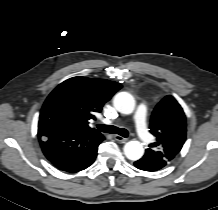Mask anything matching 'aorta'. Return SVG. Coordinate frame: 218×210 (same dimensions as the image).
I'll return each mask as SVG.
<instances>
[{"instance_id": "1", "label": "aorta", "mask_w": 218, "mask_h": 210, "mask_svg": "<svg viewBox=\"0 0 218 210\" xmlns=\"http://www.w3.org/2000/svg\"><path fill=\"white\" fill-rule=\"evenodd\" d=\"M116 109L122 114H131L135 109V100L127 92H120L114 98ZM124 154L129 160H139L144 154L142 143L136 140L129 141L124 146Z\"/></svg>"}]
</instances>
